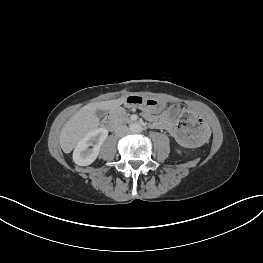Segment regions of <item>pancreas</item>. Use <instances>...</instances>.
<instances>
[{
  "mask_svg": "<svg viewBox=\"0 0 263 263\" xmlns=\"http://www.w3.org/2000/svg\"><path fill=\"white\" fill-rule=\"evenodd\" d=\"M113 121L116 123V124H123V123H128L129 122V117L128 115L126 114V112L122 109H115L113 112H112V115H111Z\"/></svg>",
  "mask_w": 263,
  "mask_h": 263,
  "instance_id": "obj_1",
  "label": "pancreas"
}]
</instances>
